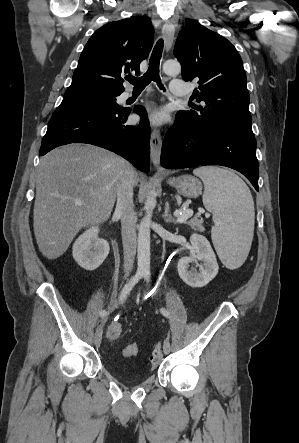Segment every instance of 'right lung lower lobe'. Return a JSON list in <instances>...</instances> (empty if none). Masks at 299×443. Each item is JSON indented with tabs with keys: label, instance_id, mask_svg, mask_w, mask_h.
<instances>
[{
	"label": "right lung lower lobe",
	"instance_id": "98d812e1",
	"mask_svg": "<svg viewBox=\"0 0 299 443\" xmlns=\"http://www.w3.org/2000/svg\"><path fill=\"white\" fill-rule=\"evenodd\" d=\"M130 109L103 110L96 107L60 104L43 137L40 156L70 143L96 145L121 155L139 170H150V125L143 107L138 126L126 125Z\"/></svg>",
	"mask_w": 299,
	"mask_h": 443
}]
</instances>
